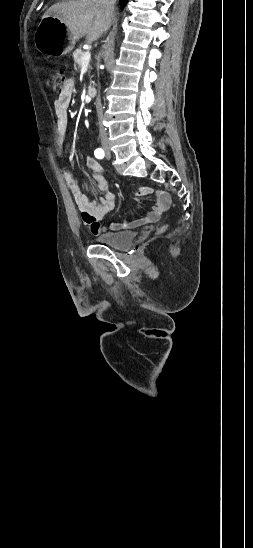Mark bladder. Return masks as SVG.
I'll return each mask as SVG.
<instances>
[{
	"label": "bladder",
	"instance_id": "1",
	"mask_svg": "<svg viewBox=\"0 0 253 548\" xmlns=\"http://www.w3.org/2000/svg\"><path fill=\"white\" fill-rule=\"evenodd\" d=\"M135 238L136 233L133 231H118L102 233L95 238V241L111 248L126 249L132 245Z\"/></svg>",
	"mask_w": 253,
	"mask_h": 548
}]
</instances>
